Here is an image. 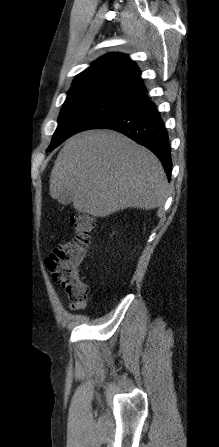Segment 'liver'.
<instances>
[{"label":"liver","instance_id":"6515ba94","mask_svg":"<svg viewBox=\"0 0 219 447\" xmlns=\"http://www.w3.org/2000/svg\"><path fill=\"white\" fill-rule=\"evenodd\" d=\"M50 196L70 197L83 213L105 217L125 208L161 207L168 181L158 158L128 137L90 130L68 139L50 176Z\"/></svg>","mask_w":219,"mask_h":447}]
</instances>
